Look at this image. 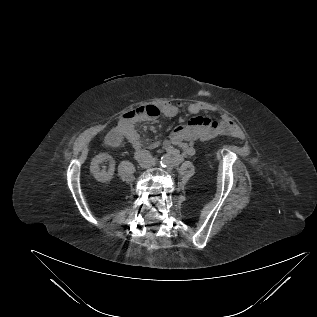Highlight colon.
<instances>
[{
	"instance_id": "1",
	"label": "colon",
	"mask_w": 317,
	"mask_h": 317,
	"mask_svg": "<svg viewBox=\"0 0 317 317\" xmlns=\"http://www.w3.org/2000/svg\"><path fill=\"white\" fill-rule=\"evenodd\" d=\"M160 114L159 108L155 105H145L131 112L130 116L136 119L156 118Z\"/></svg>"
}]
</instances>
